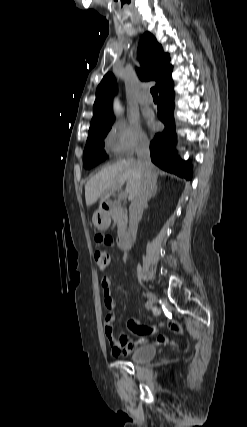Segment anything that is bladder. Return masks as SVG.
Returning <instances> with one entry per match:
<instances>
[{"mask_svg":"<svg viewBox=\"0 0 247 427\" xmlns=\"http://www.w3.org/2000/svg\"><path fill=\"white\" fill-rule=\"evenodd\" d=\"M157 353L156 346L146 344L136 347L130 355V360L134 363L143 364L151 361Z\"/></svg>","mask_w":247,"mask_h":427,"instance_id":"obj_1","label":"bladder"}]
</instances>
